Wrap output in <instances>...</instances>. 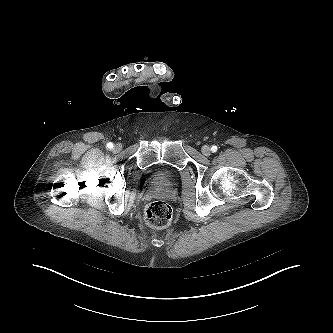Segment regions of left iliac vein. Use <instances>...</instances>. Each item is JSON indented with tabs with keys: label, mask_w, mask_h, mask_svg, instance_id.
Wrapping results in <instances>:
<instances>
[{
	"label": "left iliac vein",
	"mask_w": 333,
	"mask_h": 333,
	"mask_svg": "<svg viewBox=\"0 0 333 333\" xmlns=\"http://www.w3.org/2000/svg\"><path fill=\"white\" fill-rule=\"evenodd\" d=\"M202 153H203V155H205V156H209L210 154H211V149H210V147L209 146H207V145H204L203 147H202Z\"/></svg>",
	"instance_id": "obj_1"
}]
</instances>
